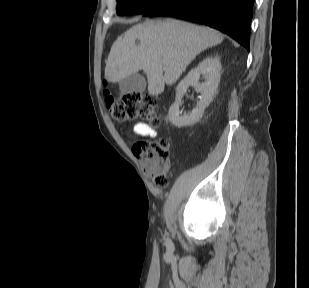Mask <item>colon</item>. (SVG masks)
<instances>
[{
    "mask_svg": "<svg viewBox=\"0 0 309 288\" xmlns=\"http://www.w3.org/2000/svg\"><path fill=\"white\" fill-rule=\"evenodd\" d=\"M105 101L114 120L143 119L153 126L160 125L158 102L151 95L134 92L127 93L120 99H114L108 91H105ZM134 150L142 161L146 175L156 186L166 187L170 168L168 141L164 138L141 140L134 144Z\"/></svg>",
    "mask_w": 309,
    "mask_h": 288,
    "instance_id": "5ec220e1",
    "label": "colon"
}]
</instances>
